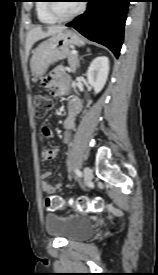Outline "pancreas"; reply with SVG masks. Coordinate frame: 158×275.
Wrapping results in <instances>:
<instances>
[{
	"label": "pancreas",
	"mask_w": 158,
	"mask_h": 275,
	"mask_svg": "<svg viewBox=\"0 0 158 275\" xmlns=\"http://www.w3.org/2000/svg\"><path fill=\"white\" fill-rule=\"evenodd\" d=\"M68 64L70 69L75 72L76 68L79 66L78 55H74L70 52L68 55Z\"/></svg>",
	"instance_id": "pancreas-1"
}]
</instances>
